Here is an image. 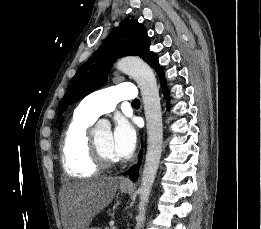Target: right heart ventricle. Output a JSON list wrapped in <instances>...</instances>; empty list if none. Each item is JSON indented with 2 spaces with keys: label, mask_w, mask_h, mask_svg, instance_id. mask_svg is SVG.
<instances>
[{
  "label": "right heart ventricle",
  "mask_w": 261,
  "mask_h": 229,
  "mask_svg": "<svg viewBox=\"0 0 261 229\" xmlns=\"http://www.w3.org/2000/svg\"><path fill=\"white\" fill-rule=\"evenodd\" d=\"M94 122L85 116L79 105L74 108L72 119L59 143L62 166L71 175L93 176L101 169L95 158L93 141L88 134V129Z\"/></svg>",
  "instance_id": "right-heart-ventricle-1"
}]
</instances>
